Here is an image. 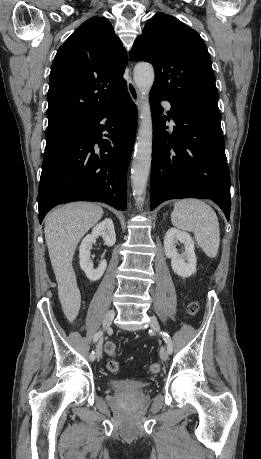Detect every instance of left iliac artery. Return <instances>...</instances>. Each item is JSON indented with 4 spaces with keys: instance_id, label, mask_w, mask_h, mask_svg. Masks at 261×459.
Here are the masks:
<instances>
[{
    "instance_id": "left-iliac-artery-1",
    "label": "left iliac artery",
    "mask_w": 261,
    "mask_h": 459,
    "mask_svg": "<svg viewBox=\"0 0 261 459\" xmlns=\"http://www.w3.org/2000/svg\"><path fill=\"white\" fill-rule=\"evenodd\" d=\"M161 334H162V337H163L164 341L167 344V351H168L169 354H171L173 352V344H172L171 337L169 336V334H167L165 332H162Z\"/></svg>"
}]
</instances>
